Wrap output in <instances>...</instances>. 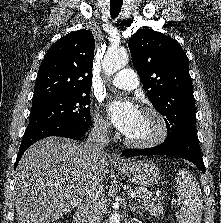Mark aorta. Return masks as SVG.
Segmentation results:
<instances>
[{
  "label": "aorta",
  "instance_id": "aorta-1",
  "mask_svg": "<svg viewBox=\"0 0 221 223\" xmlns=\"http://www.w3.org/2000/svg\"><path fill=\"white\" fill-rule=\"evenodd\" d=\"M128 58V54L125 50L107 51L102 65L104 73L108 76L113 75L127 64ZM109 223H120L119 215L114 213L110 217Z\"/></svg>",
  "mask_w": 221,
  "mask_h": 223
}]
</instances>
